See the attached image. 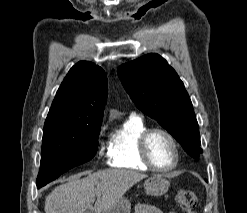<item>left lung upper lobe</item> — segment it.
<instances>
[{"mask_svg": "<svg viewBox=\"0 0 247 213\" xmlns=\"http://www.w3.org/2000/svg\"><path fill=\"white\" fill-rule=\"evenodd\" d=\"M117 72L137 108L157 120L190 156L198 158L202 150L193 106L167 61L150 53L121 65Z\"/></svg>", "mask_w": 247, "mask_h": 213, "instance_id": "left-lung-upper-lobe-1", "label": "left lung upper lobe"}]
</instances>
